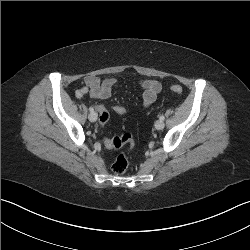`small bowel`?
Here are the masks:
<instances>
[{
	"label": "small bowel",
	"mask_w": 250,
	"mask_h": 250,
	"mask_svg": "<svg viewBox=\"0 0 250 250\" xmlns=\"http://www.w3.org/2000/svg\"><path fill=\"white\" fill-rule=\"evenodd\" d=\"M118 82L119 79L116 77L102 80L97 76H87L84 78V85L76 90V96L81 98L89 93L95 99L104 100L110 97L113 86ZM139 85L143 89V105L146 107L150 106L155 102L161 91V83L157 80L145 79L141 80ZM103 108V106H99L98 111L100 112Z\"/></svg>",
	"instance_id": "1"
}]
</instances>
